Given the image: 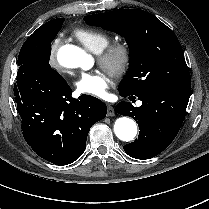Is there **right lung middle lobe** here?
<instances>
[{
  "instance_id": "right-lung-middle-lobe-1",
  "label": "right lung middle lobe",
  "mask_w": 209,
  "mask_h": 209,
  "mask_svg": "<svg viewBox=\"0 0 209 209\" xmlns=\"http://www.w3.org/2000/svg\"><path fill=\"white\" fill-rule=\"evenodd\" d=\"M64 18L54 19L39 27L23 44L19 57V70L35 69L43 73H57L49 65L51 42L62 27Z\"/></svg>"
}]
</instances>
